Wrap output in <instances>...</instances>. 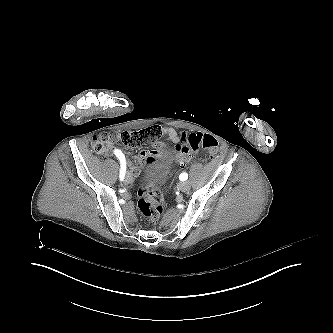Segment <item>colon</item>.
I'll use <instances>...</instances> for the list:
<instances>
[{"label":"colon","mask_w":333,"mask_h":333,"mask_svg":"<svg viewBox=\"0 0 333 333\" xmlns=\"http://www.w3.org/2000/svg\"><path fill=\"white\" fill-rule=\"evenodd\" d=\"M160 132L158 128L151 126L145 130V132H124L121 134L120 139L122 143L132 149L145 148L148 144L155 145ZM162 138H160L161 140ZM210 137L195 138L192 143H201L204 148L209 149L210 152H214L215 147L210 146ZM118 140V135L114 131L102 129L98 135L93 138V150L97 154H101L104 151V145L114 144ZM160 140L158 142H160ZM175 159L182 161L188 156L187 150H182L180 147H176L173 153ZM166 157L164 150H158L156 157L152 154L148 155L145 159V163L149 167L161 165V160ZM163 189L164 184L156 180H151L140 186L138 190L139 199L137 201V207L140 215L143 217L142 222L146 229L154 231L161 227L163 219L162 214L164 212L163 201Z\"/></svg>","instance_id":"obj_1"}]
</instances>
